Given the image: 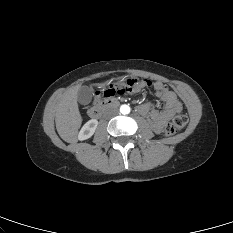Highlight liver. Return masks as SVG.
<instances>
[{
    "label": "liver",
    "mask_w": 233,
    "mask_h": 233,
    "mask_svg": "<svg viewBox=\"0 0 233 233\" xmlns=\"http://www.w3.org/2000/svg\"><path fill=\"white\" fill-rule=\"evenodd\" d=\"M79 86L70 88L61 97L55 113L56 129L59 136L66 142L75 140L82 118L77 103Z\"/></svg>",
    "instance_id": "1"
}]
</instances>
